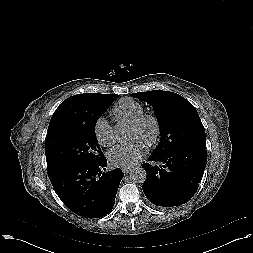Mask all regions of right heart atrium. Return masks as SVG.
<instances>
[{"label": "right heart atrium", "mask_w": 253, "mask_h": 253, "mask_svg": "<svg viewBox=\"0 0 253 253\" xmlns=\"http://www.w3.org/2000/svg\"><path fill=\"white\" fill-rule=\"evenodd\" d=\"M94 135L97 142L104 147L113 143V127L104 117H99L94 125Z\"/></svg>", "instance_id": "1"}]
</instances>
